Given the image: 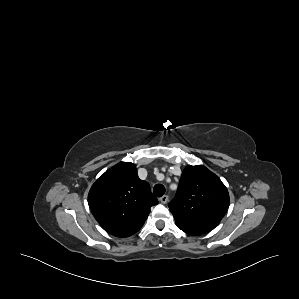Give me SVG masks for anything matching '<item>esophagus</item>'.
Here are the masks:
<instances>
[{"mask_svg":"<svg viewBox=\"0 0 299 299\" xmlns=\"http://www.w3.org/2000/svg\"><path fill=\"white\" fill-rule=\"evenodd\" d=\"M159 200L161 203L166 204L169 200V197L168 195H163Z\"/></svg>","mask_w":299,"mask_h":299,"instance_id":"obj_1","label":"esophagus"}]
</instances>
